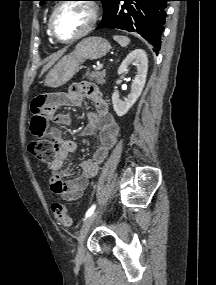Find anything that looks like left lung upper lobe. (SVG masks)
I'll list each match as a JSON object with an SVG mask.
<instances>
[{"mask_svg": "<svg viewBox=\"0 0 216 285\" xmlns=\"http://www.w3.org/2000/svg\"><path fill=\"white\" fill-rule=\"evenodd\" d=\"M40 1V4L42 5L45 1H51V0H38ZM101 1L103 4V8H104V14L109 10L111 3L113 2V0H98Z\"/></svg>", "mask_w": 216, "mask_h": 285, "instance_id": "left-lung-upper-lobe-1", "label": "left lung upper lobe"}]
</instances>
